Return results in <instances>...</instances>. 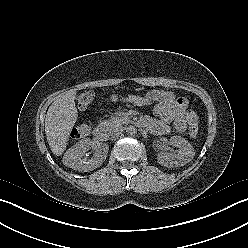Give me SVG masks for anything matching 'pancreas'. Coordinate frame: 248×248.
<instances>
[{
  "label": "pancreas",
  "instance_id": "obj_1",
  "mask_svg": "<svg viewBox=\"0 0 248 248\" xmlns=\"http://www.w3.org/2000/svg\"><path fill=\"white\" fill-rule=\"evenodd\" d=\"M130 121V117L127 116L125 113H119L117 116L111 117L110 119L104 121V125L111 129L123 124H127Z\"/></svg>",
  "mask_w": 248,
  "mask_h": 248
}]
</instances>
